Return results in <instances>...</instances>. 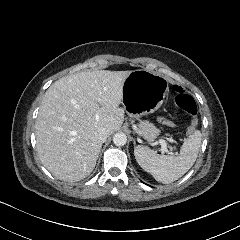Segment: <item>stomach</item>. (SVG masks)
<instances>
[{
  "label": "stomach",
  "mask_w": 240,
  "mask_h": 240,
  "mask_svg": "<svg viewBox=\"0 0 240 240\" xmlns=\"http://www.w3.org/2000/svg\"><path fill=\"white\" fill-rule=\"evenodd\" d=\"M169 92V79L147 69L131 71L123 86L121 103L130 117L156 111Z\"/></svg>",
  "instance_id": "0dacf381"
}]
</instances>
